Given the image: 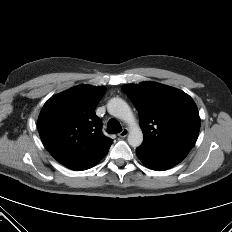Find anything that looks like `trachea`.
<instances>
[{"label":"trachea","instance_id":"obj_1","mask_svg":"<svg viewBox=\"0 0 232 232\" xmlns=\"http://www.w3.org/2000/svg\"><path fill=\"white\" fill-rule=\"evenodd\" d=\"M121 131H122V127L116 119L112 118L108 121V124H107L108 133L116 134Z\"/></svg>","mask_w":232,"mask_h":232}]
</instances>
